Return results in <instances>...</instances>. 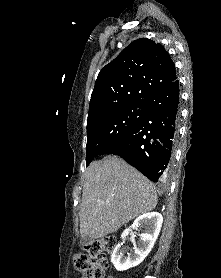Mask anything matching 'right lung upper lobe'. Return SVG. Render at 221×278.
I'll return each instance as SVG.
<instances>
[{
    "label": "right lung upper lobe",
    "mask_w": 221,
    "mask_h": 278,
    "mask_svg": "<svg viewBox=\"0 0 221 278\" xmlns=\"http://www.w3.org/2000/svg\"><path fill=\"white\" fill-rule=\"evenodd\" d=\"M176 79L175 65L164 47L147 38L137 39L100 71L88 120L146 101L150 94Z\"/></svg>",
    "instance_id": "1"
}]
</instances>
